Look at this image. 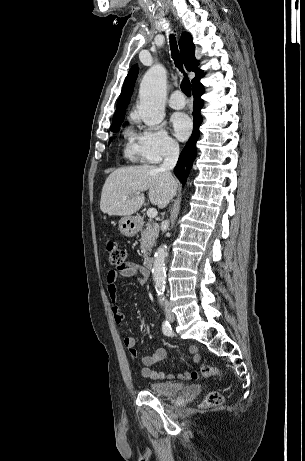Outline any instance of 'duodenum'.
I'll return each instance as SVG.
<instances>
[{
    "label": "duodenum",
    "mask_w": 305,
    "mask_h": 461,
    "mask_svg": "<svg viewBox=\"0 0 305 461\" xmlns=\"http://www.w3.org/2000/svg\"><path fill=\"white\" fill-rule=\"evenodd\" d=\"M144 265L147 269H151L153 268V265H154V259L153 257L151 256H147L145 259H144Z\"/></svg>",
    "instance_id": "obj_1"
}]
</instances>
